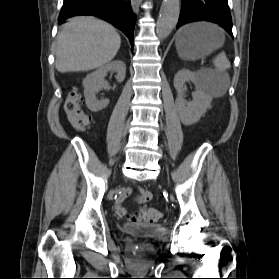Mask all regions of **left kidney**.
<instances>
[{"label": "left kidney", "instance_id": "left-kidney-1", "mask_svg": "<svg viewBox=\"0 0 279 279\" xmlns=\"http://www.w3.org/2000/svg\"><path fill=\"white\" fill-rule=\"evenodd\" d=\"M187 81H191L196 87V91L192 93L191 102L184 99ZM174 87L177 90L175 105L181 122L186 126L197 123L212 102V96L206 90L205 74L181 69L174 77Z\"/></svg>", "mask_w": 279, "mask_h": 279}]
</instances>
